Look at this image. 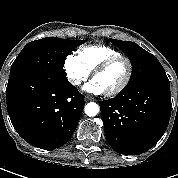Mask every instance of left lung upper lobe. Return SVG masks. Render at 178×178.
I'll return each instance as SVG.
<instances>
[{
  "label": "left lung upper lobe",
  "mask_w": 178,
  "mask_h": 178,
  "mask_svg": "<svg viewBox=\"0 0 178 178\" xmlns=\"http://www.w3.org/2000/svg\"><path fill=\"white\" fill-rule=\"evenodd\" d=\"M110 40L127 55L132 64V77L126 87L146 82L169 81L164 68L153 54L130 41Z\"/></svg>",
  "instance_id": "1"
}]
</instances>
